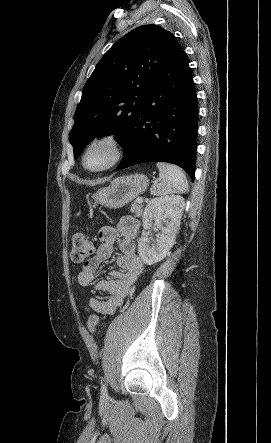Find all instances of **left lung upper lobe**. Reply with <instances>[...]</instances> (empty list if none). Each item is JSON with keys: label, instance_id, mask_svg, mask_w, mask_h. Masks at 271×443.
<instances>
[{"label": "left lung upper lobe", "instance_id": "left-lung-upper-lobe-1", "mask_svg": "<svg viewBox=\"0 0 271 443\" xmlns=\"http://www.w3.org/2000/svg\"><path fill=\"white\" fill-rule=\"evenodd\" d=\"M158 25L135 28L101 58L83 87L69 140L78 158L97 136L115 134L124 151L142 116L152 79L179 47Z\"/></svg>", "mask_w": 271, "mask_h": 443}]
</instances>
